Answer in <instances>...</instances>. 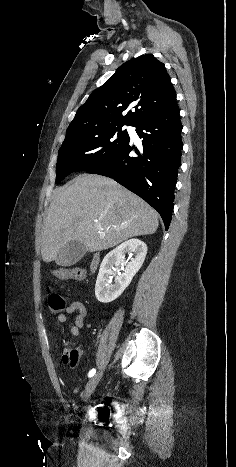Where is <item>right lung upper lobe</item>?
<instances>
[{
	"label": "right lung upper lobe",
	"instance_id": "right-lung-upper-lobe-1",
	"mask_svg": "<svg viewBox=\"0 0 236 467\" xmlns=\"http://www.w3.org/2000/svg\"><path fill=\"white\" fill-rule=\"evenodd\" d=\"M176 101V92L162 62L152 54L122 64L96 89L77 113L66 136L113 125L135 126ZM135 111L122 112L129 105Z\"/></svg>",
	"mask_w": 236,
	"mask_h": 467
}]
</instances>
